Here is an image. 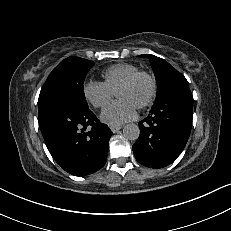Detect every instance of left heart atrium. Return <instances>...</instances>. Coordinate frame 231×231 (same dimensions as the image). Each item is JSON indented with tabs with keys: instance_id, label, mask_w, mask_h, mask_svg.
<instances>
[{
	"instance_id": "left-heart-atrium-1",
	"label": "left heart atrium",
	"mask_w": 231,
	"mask_h": 231,
	"mask_svg": "<svg viewBox=\"0 0 231 231\" xmlns=\"http://www.w3.org/2000/svg\"><path fill=\"white\" fill-rule=\"evenodd\" d=\"M136 107L125 99H118L111 103L101 114L103 122L111 126H120L136 117Z\"/></svg>"
}]
</instances>
